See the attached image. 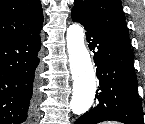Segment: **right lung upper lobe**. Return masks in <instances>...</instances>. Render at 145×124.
<instances>
[{
	"label": "right lung upper lobe",
	"mask_w": 145,
	"mask_h": 124,
	"mask_svg": "<svg viewBox=\"0 0 145 124\" xmlns=\"http://www.w3.org/2000/svg\"><path fill=\"white\" fill-rule=\"evenodd\" d=\"M42 23L40 0H0V40L37 33Z\"/></svg>",
	"instance_id": "obj_1"
}]
</instances>
